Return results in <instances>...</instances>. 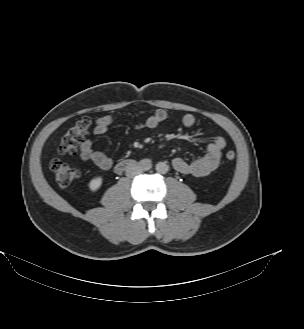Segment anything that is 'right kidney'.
Segmentation results:
<instances>
[{
    "label": "right kidney",
    "instance_id": "1",
    "mask_svg": "<svg viewBox=\"0 0 304 329\" xmlns=\"http://www.w3.org/2000/svg\"><path fill=\"white\" fill-rule=\"evenodd\" d=\"M102 185V178L101 177H95L92 179L89 183V188L91 191L95 192L97 191Z\"/></svg>",
    "mask_w": 304,
    "mask_h": 329
}]
</instances>
